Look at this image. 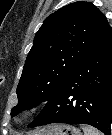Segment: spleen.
<instances>
[{
    "mask_svg": "<svg viewBox=\"0 0 112 135\" xmlns=\"http://www.w3.org/2000/svg\"><path fill=\"white\" fill-rule=\"evenodd\" d=\"M83 131L84 135H102L98 130L89 126H84Z\"/></svg>",
    "mask_w": 112,
    "mask_h": 135,
    "instance_id": "obj_1",
    "label": "spleen"
}]
</instances>
